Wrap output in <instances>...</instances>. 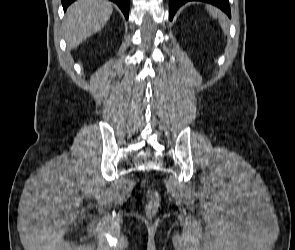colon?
Returning a JSON list of instances; mask_svg holds the SVG:
<instances>
[{
	"instance_id": "5ec220e1",
	"label": "colon",
	"mask_w": 295,
	"mask_h": 250,
	"mask_svg": "<svg viewBox=\"0 0 295 250\" xmlns=\"http://www.w3.org/2000/svg\"><path fill=\"white\" fill-rule=\"evenodd\" d=\"M147 205H146V212L148 215H154L159 207V196L158 193L150 188L147 190Z\"/></svg>"
}]
</instances>
